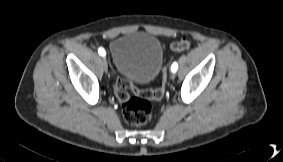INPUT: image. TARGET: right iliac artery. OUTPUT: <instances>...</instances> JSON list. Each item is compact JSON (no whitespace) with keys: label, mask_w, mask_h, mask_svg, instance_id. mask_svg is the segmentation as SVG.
I'll list each match as a JSON object with an SVG mask.
<instances>
[{"label":"right iliac artery","mask_w":283,"mask_h":162,"mask_svg":"<svg viewBox=\"0 0 283 162\" xmlns=\"http://www.w3.org/2000/svg\"><path fill=\"white\" fill-rule=\"evenodd\" d=\"M98 53H99V55H101V56H105V50L102 48V47H100L99 49H98Z\"/></svg>","instance_id":"82829eb1"}]
</instances>
